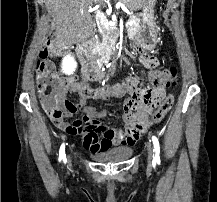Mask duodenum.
I'll return each mask as SVG.
<instances>
[{
	"instance_id": "410a0bca",
	"label": "duodenum",
	"mask_w": 217,
	"mask_h": 202,
	"mask_svg": "<svg viewBox=\"0 0 217 202\" xmlns=\"http://www.w3.org/2000/svg\"><path fill=\"white\" fill-rule=\"evenodd\" d=\"M81 62L83 77L87 81H98L104 76V73L96 65L93 55V43L89 42L81 48Z\"/></svg>"
}]
</instances>
